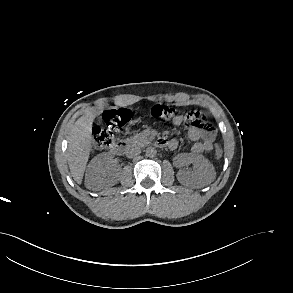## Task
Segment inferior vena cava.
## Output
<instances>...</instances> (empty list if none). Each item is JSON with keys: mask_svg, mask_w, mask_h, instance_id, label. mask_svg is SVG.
<instances>
[{"mask_svg": "<svg viewBox=\"0 0 293 293\" xmlns=\"http://www.w3.org/2000/svg\"><path fill=\"white\" fill-rule=\"evenodd\" d=\"M141 153L140 148L135 147V148H131L130 150L127 151L126 156L129 158H132L134 156H137Z\"/></svg>", "mask_w": 293, "mask_h": 293, "instance_id": "inferior-vena-cava-1", "label": "inferior vena cava"}]
</instances>
